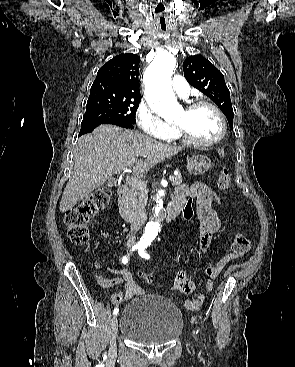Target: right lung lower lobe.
I'll list each match as a JSON object with an SVG mask.
<instances>
[{
  "instance_id": "98d812e1",
  "label": "right lung lower lobe",
  "mask_w": 295,
  "mask_h": 367,
  "mask_svg": "<svg viewBox=\"0 0 295 367\" xmlns=\"http://www.w3.org/2000/svg\"><path fill=\"white\" fill-rule=\"evenodd\" d=\"M109 124H114V125H117V126H120V127H123V128H127V129H133L134 128V124L130 123V122L116 121V122L109 123ZM98 125H100V124L89 126V127L85 128V130H80L79 135H83L85 133L92 132Z\"/></svg>"
}]
</instances>
